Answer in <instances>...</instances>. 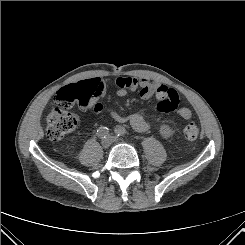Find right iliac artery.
I'll return each mask as SVG.
<instances>
[{"label": "right iliac artery", "mask_w": 245, "mask_h": 245, "mask_svg": "<svg viewBox=\"0 0 245 245\" xmlns=\"http://www.w3.org/2000/svg\"><path fill=\"white\" fill-rule=\"evenodd\" d=\"M97 135L100 138H105L109 135V129L107 127L101 126L98 130H97Z\"/></svg>", "instance_id": "right-iliac-artery-1"}]
</instances>
